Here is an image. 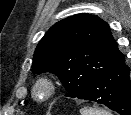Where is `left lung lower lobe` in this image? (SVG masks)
<instances>
[{
	"label": "left lung lower lobe",
	"mask_w": 131,
	"mask_h": 115,
	"mask_svg": "<svg viewBox=\"0 0 131 115\" xmlns=\"http://www.w3.org/2000/svg\"><path fill=\"white\" fill-rule=\"evenodd\" d=\"M76 98L103 104L120 115H131L130 68L125 57L97 76Z\"/></svg>",
	"instance_id": "left-lung-lower-lobe-1"
}]
</instances>
